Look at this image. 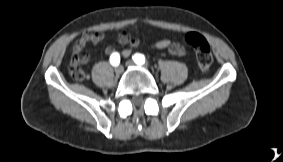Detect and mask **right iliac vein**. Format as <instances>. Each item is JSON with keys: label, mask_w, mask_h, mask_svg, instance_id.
Listing matches in <instances>:
<instances>
[{"label": "right iliac vein", "mask_w": 283, "mask_h": 162, "mask_svg": "<svg viewBox=\"0 0 283 162\" xmlns=\"http://www.w3.org/2000/svg\"><path fill=\"white\" fill-rule=\"evenodd\" d=\"M122 72H123V67H122V66H117V67L115 68V73H116L117 75H120Z\"/></svg>", "instance_id": "1"}]
</instances>
